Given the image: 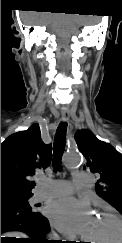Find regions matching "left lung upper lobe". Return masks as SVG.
Wrapping results in <instances>:
<instances>
[{
  "mask_svg": "<svg viewBox=\"0 0 122 243\" xmlns=\"http://www.w3.org/2000/svg\"><path fill=\"white\" fill-rule=\"evenodd\" d=\"M75 140L87 160L84 169L99 176L97 194L122 213V155L88 130L78 131Z\"/></svg>",
  "mask_w": 122,
  "mask_h": 243,
  "instance_id": "5c2ea615",
  "label": "left lung upper lobe"
}]
</instances>
